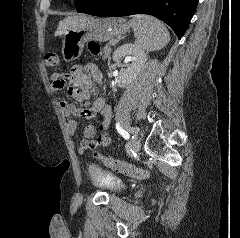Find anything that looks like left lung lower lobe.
<instances>
[{
	"instance_id": "left-lung-lower-lobe-1",
	"label": "left lung lower lobe",
	"mask_w": 240,
	"mask_h": 238,
	"mask_svg": "<svg viewBox=\"0 0 240 238\" xmlns=\"http://www.w3.org/2000/svg\"><path fill=\"white\" fill-rule=\"evenodd\" d=\"M198 0H98L82 13L99 17L148 14L166 22L180 39L186 32Z\"/></svg>"
}]
</instances>
